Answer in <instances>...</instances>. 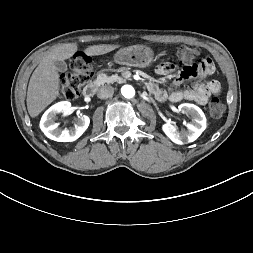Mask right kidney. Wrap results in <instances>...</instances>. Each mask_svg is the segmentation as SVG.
<instances>
[{
	"mask_svg": "<svg viewBox=\"0 0 253 253\" xmlns=\"http://www.w3.org/2000/svg\"><path fill=\"white\" fill-rule=\"evenodd\" d=\"M71 110V103L62 101L51 106L42 116L40 121V128L44 134L58 142H72L78 139L88 128L90 119L86 115H80L76 119L74 126L69 129H60L58 123H55L56 115L59 113H69Z\"/></svg>",
	"mask_w": 253,
	"mask_h": 253,
	"instance_id": "1",
	"label": "right kidney"
}]
</instances>
